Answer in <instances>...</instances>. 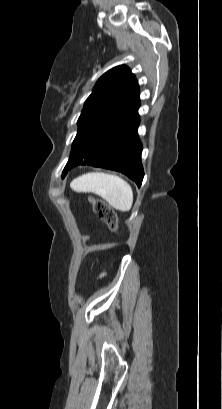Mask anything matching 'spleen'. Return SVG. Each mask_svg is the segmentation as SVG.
Listing matches in <instances>:
<instances>
[{
    "mask_svg": "<svg viewBox=\"0 0 222 409\" xmlns=\"http://www.w3.org/2000/svg\"><path fill=\"white\" fill-rule=\"evenodd\" d=\"M75 192L94 193L116 210L127 212L133 204L131 186L117 175L103 172L84 174L70 183Z\"/></svg>",
    "mask_w": 222,
    "mask_h": 409,
    "instance_id": "spleen-1",
    "label": "spleen"
}]
</instances>
